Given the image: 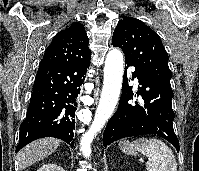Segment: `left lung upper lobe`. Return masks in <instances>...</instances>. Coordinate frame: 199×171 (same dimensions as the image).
Segmentation results:
<instances>
[{
    "label": "left lung upper lobe",
    "mask_w": 199,
    "mask_h": 171,
    "mask_svg": "<svg viewBox=\"0 0 199 171\" xmlns=\"http://www.w3.org/2000/svg\"><path fill=\"white\" fill-rule=\"evenodd\" d=\"M112 44L123 50L126 62L147 76L171 87L168 55L161 39L142 21L124 16L114 30Z\"/></svg>",
    "instance_id": "obj_1"
}]
</instances>
